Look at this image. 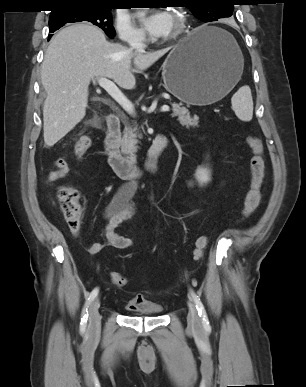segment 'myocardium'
<instances>
[{
    "instance_id": "1",
    "label": "myocardium",
    "mask_w": 306,
    "mask_h": 387,
    "mask_svg": "<svg viewBox=\"0 0 306 387\" xmlns=\"http://www.w3.org/2000/svg\"><path fill=\"white\" fill-rule=\"evenodd\" d=\"M172 16L175 19V29L171 33L170 38L174 39L183 33L186 19L184 13L179 9L174 10Z\"/></svg>"
}]
</instances>
